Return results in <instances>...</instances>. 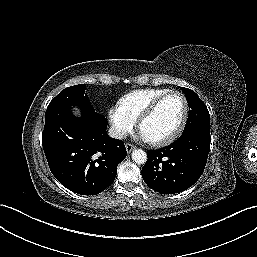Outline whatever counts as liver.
Returning <instances> with one entry per match:
<instances>
[{
	"instance_id": "liver-1",
	"label": "liver",
	"mask_w": 257,
	"mask_h": 257,
	"mask_svg": "<svg viewBox=\"0 0 257 257\" xmlns=\"http://www.w3.org/2000/svg\"><path fill=\"white\" fill-rule=\"evenodd\" d=\"M76 111H75V114H78L79 113V111L77 110V109H75Z\"/></svg>"
}]
</instances>
